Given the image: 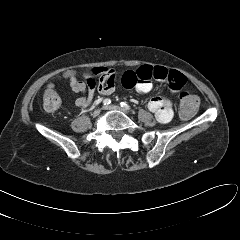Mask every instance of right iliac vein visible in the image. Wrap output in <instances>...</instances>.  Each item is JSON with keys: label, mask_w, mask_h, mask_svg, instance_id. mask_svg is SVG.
I'll return each mask as SVG.
<instances>
[{"label": "right iliac vein", "mask_w": 240, "mask_h": 240, "mask_svg": "<svg viewBox=\"0 0 240 240\" xmlns=\"http://www.w3.org/2000/svg\"><path fill=\"white\" fill-rule=\"evenodd\" d=\"M99 114H100V109H96L92 115L93 117H97Z\"/></svg>", "instance_id": "right-iliac-vein-1"}]
</instances>
